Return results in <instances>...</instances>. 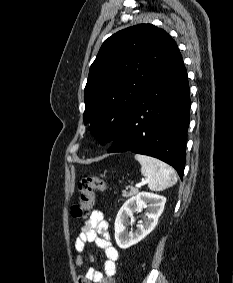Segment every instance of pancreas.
I'll return each instance as SVG.
<instances>
[{"label": "pancreas", "instance_id": "pancreas-1", "mask_svg": "<svg viewBox=\"0 0 233 283\" xmlns=\"http://www.w3.org/2000/svg\"><path fill=\"white\" fill-rule=\"evenodd\" d=\"M138 192H139L138 189H134V188H132L130 191L124 190L122 196L123 198H128L131 196H135L136 194H138Z\"/></svg>", "mask_w": 233, "mask_h": 283}]
</instances>
